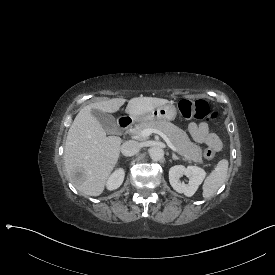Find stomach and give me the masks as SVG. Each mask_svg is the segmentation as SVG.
I'll list each match as a JSON object with an SVG mask.
<instances>
[{
    "label": "stomach",
    "mask_w": 275,
    "mask_h": 275,
    "mask_svg": "<svg viewBox=\"0 0 275 275\" xmlns=\"http://www.w3.org/2000/svg\"><path fill=\"white\" fill-rule=\"evenodd\" d=\"M177 117V108L174 104H166L157 107L153 111L145 114L144 116L135 118L143 122H155V121H173Z\"/></svg>",
    "instance_id": "1"
}]
</instances>
